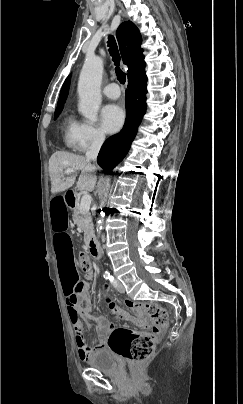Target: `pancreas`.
I'll return each instance as SVG.
<instances>
[{
	"label": "pancreas",
	"instance_id": "pancreas-1",
	"mask_svg": "<svg viewBox=\"0 0 243 404\" xmlns=\"http://www.w3.org/2000/svg\"><path fill=\"white\" fill-rule=\"evenodd\" d=\"M73 222L78 226V228H81L84 232V242L85 244H88L92 234H93V224H92V218L88 212V214H84L82 210H80V206H77V208H74V214H73Z\"/></svg>",
	"mask_w": 243,
	"mask_h": 404
}]
</instances>
